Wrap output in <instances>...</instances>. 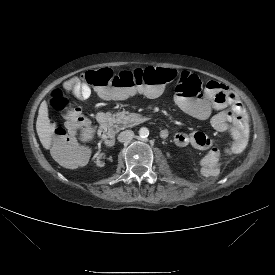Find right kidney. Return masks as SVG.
<instances>
[{
    "mask_svg": "<svg viewBox=\"0 0 275 275\" xmlns=\"http://www.w3.org/2000/svg\"><path fill=\"white\" fill-rule=\"evenodd\" d=\"M95 165L98 166L99 169L107 168V158L103 153H98L95 158Z\"/></svg>",
    "mask_w": 275,
    "mask_h": 275,
    "instance_id": "1",
    "label": "right kidney"
}]
</instances>
